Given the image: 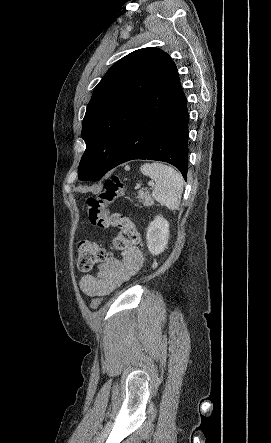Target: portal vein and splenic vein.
Masks as SVG:
<instances>
[{
	"label": "portal vein and splenic vein",
	"mask_w": 271,
	"mask_h": 443,
	"mask_svg": "<svg viewBox=\"0 0 271 443\" xmlns=\"http://www.w3.org/2000/svg\"><path fill=\"white\" fill-rule=\"evenodd\" d=\"M148 186H154L153 182H148Z\"/></svg>",
	"instance_id": "18ae733b"
}]
</instances>
